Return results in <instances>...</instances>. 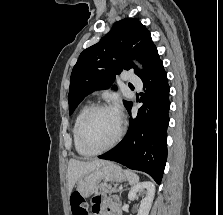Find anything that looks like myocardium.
Segmentation results:
<instances>
[{"instance_id":"obj_1","label":"myocardium","mask_w":223,"mask_h":215,"mask_svg":"<svg viewBox=\"0 0 223 215\" xmlns=\"http://www.w3.org/2000/svg\"><path fill=\"white\" fill-rule=\"evenodd\" d=\"M103 109H110L112 110V108L110 106H108L107 104L104 103H98L95 104L93 106L90 107V109L87 111V113L85 114V116L83 117L80 126H79V130H78V139H79V143L81 145V147L83 149L86 150L87 153H89L90 155H99L105 151L111 150L113 148L116 147V145L120 142L123 134H124V126L122 124V121L119 117V130L118 133L116 135V137L113 139V141L106 147L99 149V150H94L91 149L87 146L86 144V140H85V133H86V128L91 120V118L100 110Z\"/></svg>"}]
</instances>
